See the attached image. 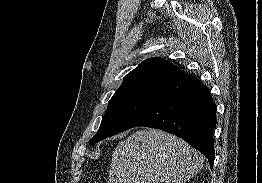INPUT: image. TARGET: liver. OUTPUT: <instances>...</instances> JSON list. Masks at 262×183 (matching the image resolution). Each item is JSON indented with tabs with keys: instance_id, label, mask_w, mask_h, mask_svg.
<instances>
[{
	"instance_id": "liver-1",
	"label": "liver",
	"mask_w": 262,
	"mask_h": 183,
	"mask_svg": "<svg viewBox=\"0 0 262 183\" xmlns=\"http://www.w3.org/2000/svg\"><path fill=\"white\" fill-rule=\"evenodd\" d=\"M203 163V156L183 139L142 129L114 149L108 183H185Z\"/></svg>"
}]
</instances>
